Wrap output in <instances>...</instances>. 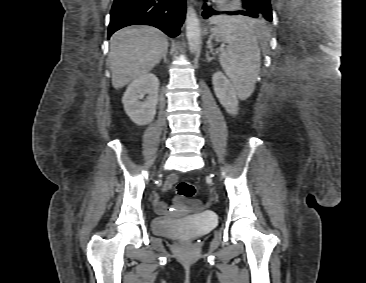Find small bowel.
<instances>
[{
  "label": "small bowel",
  "instance_id": "c3829d8e",
  "mask_svg": "<svg viewBox=\"0 0 366 283\" xmlns=\"http://www.w3.org/2000/svg\"><path fill=\"white\" fill-rule=\"evenodd\" d=\"M176 181H177L176 175L170 176L167 182L165 183L164 190H169L170 188H172V186L176 183ZM154 204L159 212H165L167 210L166 204L160 201L158 197L155 198Z\"/></svg>",
  "mask_w": 366,
  "mask_h": 283
}]
</instances>
